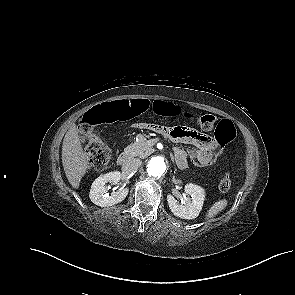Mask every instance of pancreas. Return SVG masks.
I'll return each instance as SVG.
<instances>
[{"instance_id": "pancreas-1", "label": "pancreas", "mask_w": 295, "mask_h": 295, "mask_svg": "<svg viewBox=\"0 0 295 295\" xmlns=\"http://www.w3.org/2000/svg\"><path fill=\"white\" fill-rule=\"evenodd\" d=\"M152 146L143 135L137 136V141L127 146L124 150L128 157L145 158L153 153Z\"/></svg>"}]
</instances>
